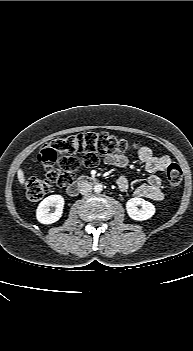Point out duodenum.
<instances>
[{
    "mask_svg": "<svg viewBox=\"0 0 193 351\" xmlns=\"http://www.w3.org/2000/svg\"><path fill=\"white\" fill-rule=\"evenodd\" d=\"M96 179L92 176H80L74 183L67 188L70 197L77 195L79 189L85 185L95 183Z\"/></svg>",
    "mask_w": 193,
    "mask_h": 351,
    "instance_id": "410a0bca",
    "label": "duodenum"
}]
</instances>
